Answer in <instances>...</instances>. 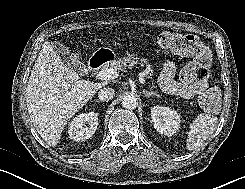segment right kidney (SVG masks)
<instances>
[{"instance_id":"1","label":"right kidney","mask_w":245,"mask_h":189,"mask_svg":"<svg viewBox=\"0 0 245 189\" xmlns=\"http://www.w3.org/2000/svg\"><path fill=\"white\" fill-rule=\"evenodd\" d=\"M89 125V127L86 126ZM98 126V114L95 112L83 113L76 116L69 124L68 133L74 141H84L95 133Z\"/></svg>"}]
</instances>
